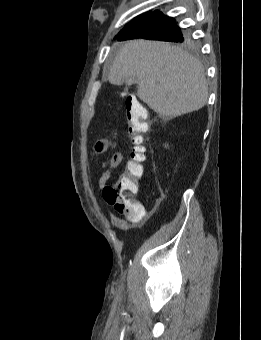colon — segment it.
<instances>
[{"instance_id": "5ec220e1", "label": "colon", "mask_w": 261, "mask_h": 340, "mask_svg": "<svg viewBox=\"0 0 261 340\" xmlns=\"http://www.w3.org/2000/svg\"><path fill=\"white\" fill-rule=\"evenodd\" d=\"M146 109L135 98L126 100V132L133 147L125 163L124 171L112 186L106 187L103 195L106 202L121 214L139 216L144 207L134 199L139 191V181L145 174V149L143 135L147 131Z\"/></svg>"}]
</instances>
